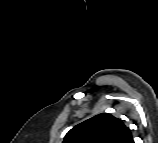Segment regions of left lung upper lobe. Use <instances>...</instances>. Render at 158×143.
Masks as SVG:
<instances>
[{"mask_svg":"<svg viewBox=\"0 0 158 143\" xmlns=\"http://www.w3.org/2000/svg\"><path fill=\"white\" fill-rule=\"evenodd\" d=\"M131 130L110 113L98 114L73 127L63 143H132Z\"/></svg>","mask_w":158,"mask_h":143,"instance_id":"5c2ea615","label":"left lung upper lobe"}]
</instances>
